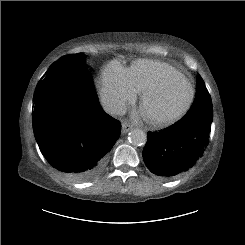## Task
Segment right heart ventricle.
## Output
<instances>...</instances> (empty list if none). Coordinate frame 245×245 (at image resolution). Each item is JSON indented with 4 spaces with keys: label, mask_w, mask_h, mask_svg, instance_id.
<instances>
[{
    "label": "right heart ventricle",
    "mask_w": 245,
    "mask_h": 245,
    "mask_svg": "<svg viewBox=\"0 0 245 245\" xmlns=\"http://www.w3.org/2000/svg\"><path fill=\"white\" fill-rule=\"evenodd\" d=\"M176 70L167 63L151 60L135 61L127 69L130 83L137 93H142Z\"/></svg>",
    "instance_id": "right-heart-ventricle-1"
}]
</instances>
